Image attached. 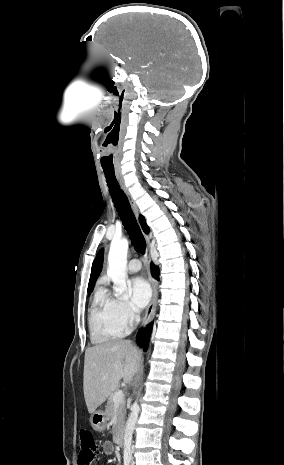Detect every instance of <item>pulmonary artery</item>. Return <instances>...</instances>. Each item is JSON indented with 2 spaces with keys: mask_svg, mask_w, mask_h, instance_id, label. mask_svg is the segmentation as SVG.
Masks as SVG:
<instances>
[{
  "mask_svg": "<svg viewBox=\"0 0 284 465\" xmlns=\"http://www.w3.org/2000/svg\"><path fill=\"white\" fill-rule=\"evenodd\" d=\"M141 269V263L137 259L131 260L127 265V270L129 273H136Z\"/></svg>",
  "mask_w": 284,
  "mask_h": 465,
  "instance_id": "obj_1",
  "label": "pulmonary artery"
}]
</instances>
